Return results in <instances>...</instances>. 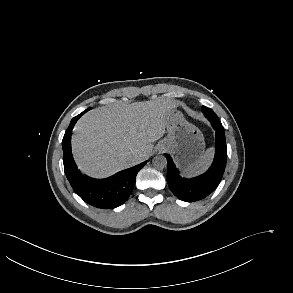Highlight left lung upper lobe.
<instances>
[{
    "mask_svg": "<svg viewBox=\"0 0 293 293\" xmlns=\"http://www.w3.org/2000/svg\"><path fill=\"white\" fill-rule=\"evenodd\" d=\"M202 112L204 113L205 117L210 121H220L219 118L217 117V115L214 113V111L212 109H209L205 106H202Z\"/></svg>",
    "mask_w": 293,
    "mask_h": 293,
    "instance_id": "1",
    "label": "left lung upper lobe"
}]
</instances>
